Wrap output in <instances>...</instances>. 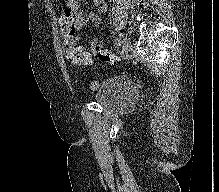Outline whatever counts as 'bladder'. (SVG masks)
Instances as JSON below:
<instances>
[{
    "mask_svg": "<svg viewBox=\"0 0 219 192\" xmlns=\"http://www.w3.org/2000/svg\"><path fill=\"white\" fill-rule=\"evenodd\" d=\"M96 103L107 111L127 109L137 97L136 85L128 79H111L99 83L92 91Z\"/></svg>",
    "mask_w": 219,
    "mask_h": 192,
    "instance_id": "31cf9c89",
    "label": "bladder"
}]
</instances>
